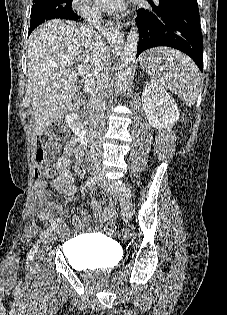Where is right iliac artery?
<instances>
[{"mask_svg":"<svg viewBox=\"0 0 227 315\" xmlns=\"http://www.w3.org/2000/svg\"><path fill=\"white\" fill-rule=\"evenodd\" d=\"M99 181V177L98 176H93L90 177L87 182H86V186L87 187H94ZM61 219H57L55 222H53L51 224V226L47 229V231L43 234V237L46 238L52 231H54L57 226L61 223ZM42 239V238H41ZM41 240H39L36 244L33 245V248L30 250L28 257H27V265L29 266L30 262L32 261L33 257L35 256V253L38 250L39 244Z\"/></svg>","mask_w":227,"mask_h":315,"instance_id":"obj_1","label":"right iliac artery"}]
</instances>
